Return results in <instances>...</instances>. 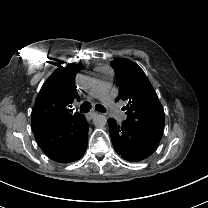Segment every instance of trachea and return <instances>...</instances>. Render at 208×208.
I'll return each mask as SVG.
<instances>
[{
	"mask_svg": "<svg viewBox=\"0 0 208 208\" xmlns=\"http://www.w3.org/2000/svg\"><path fill=\"white\" fill-rule=\"evenodd\" d=\"M91 109V104L89 102H84L83 104H81L80 106V112L81 113H86V112H89ZM95 109L99 112H102V113H105L106 112V109L100 105V104H97L95 106Z\"/></svg>",
	"mask_w": 208,
	"mask_h": 208,
	"instance_id": "1",
	"label": "trachea"
}]
</instances>
